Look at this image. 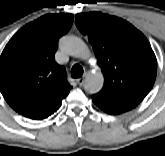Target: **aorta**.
Masks as SVG:
<instances>
[{
	"mask_svg": "<svg viewBox=\"0 0 165 156\" xmlns=\"http://www.w3.org/2000/svg\"><path fill=\"white\" fill-rule=\"evenodd\" d=\"M61 49L68 55L88 59L91 52L85 42L76 36H65L60 42ZM104 84V77L101 71L96 70L90 72L84 82V89L90 94L99 92Z\"/></svg>",
	"mask_w": 165,
	"mask_h": 156,
	"instance_id": "aorta-1",
	"label": "aorta"
}]
</instances>
